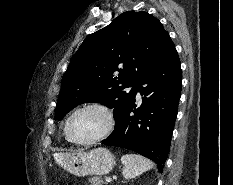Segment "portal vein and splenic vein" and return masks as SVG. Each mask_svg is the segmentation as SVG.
<instances>
[{"mask_svg":"<svg viewBox=\"0 0 233 185\" xmlns=\"http://www.w3.org/2000/svg\"><path fill=\"white\" fill-rule=\"evenodd\" d=\"M105 181H106L107 183H109V182L112 181V179H111L110 177H107V178H105Z\"/></svg>","mask_w":233,"mask_h":185,"instance_id":"18ae733b","label":"portal vein and splenic vein"}]
</instances>
